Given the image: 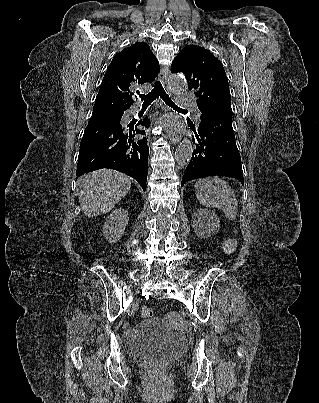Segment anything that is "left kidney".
Masks as SVG:
<instances>
[{
    "label": "left kidney",
    "mask_w": 319,
    "mask_h": 403,
    "mask_svg": "<svg viewBox=\"0 0 319 403\" xmlns=\"http://www.w3.org/2000/svg\"><path fill=\"white\" fill-rule=\"evenodd\" d=\"M195 215L198 217L203 226H210V223L214 222L216 224V229L212 230V232L215 233L217 231V227H219V219L213 211L207 209H198Z\"/></svg>",
    "instance_id": "left-kidney-1"
}]
</instances>
